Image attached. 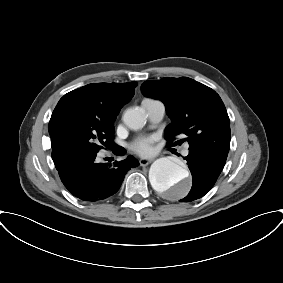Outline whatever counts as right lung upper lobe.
Masks as SVG:
<instances>
[{
  "mask_svg": "<svg viewBox=\"0 0 283 283\" xmlns=\"http://www.w3.org/2000/svg\"><path fill=\"white\" fill-rule=\"evenodd\" d=\"M136 86V82L89 84L64 95L53 113L73 105L96 116L100 122L113 125L121 108L133 97Z\"/></svg>",
  "mask_w": 283,
  "mask_h": 283,
  "instance_id": "cb5924a9",
  "label": "right lung upper lobe"
}]
</instances>
